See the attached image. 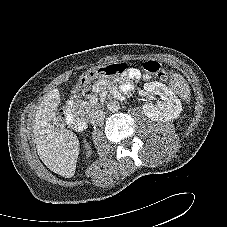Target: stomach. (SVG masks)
<instances>
[{
  "label": "stomach",
  "mask_w": 227,
  "mask_h": 227,
  "mask_svg": "<svg viewBox=\"0 0 227 227\" xmlns=\"http://www.w3.org/2000/svg\"><path fill=\"white\" fill-rule=\"evenodd\" d=\"M94 72L96 73V74H99L100 72H99V68H97L96 70H94Z\"/></svg>",
  "instance_id": "obj_1"
}]
</instances>
